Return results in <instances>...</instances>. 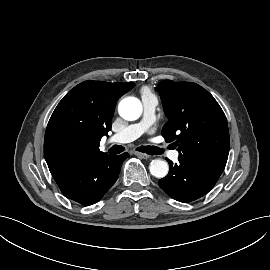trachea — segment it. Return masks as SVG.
Masks as SVG:
<instances>
[{
  "instance_id": "trachea-1",
  "label": "trachea",
  "mask_w": 270,
  "mask_h": 270,
  "mask_svg": "<svg viewBox=\"0 0 270 270\" xmlns=\"http://www.w3.org/2000/svg\"><path fill=\"white\" fill-rule=\"evenodd\" d=\"M125 150V148L123 146L120 145H113L110 150L109 153L110 154H119L121 152H123ZM138 151L146 153L148 155H159L163 153V150L156 147V146H140L137 148Z\"/></svg>"
}]
</instances>
